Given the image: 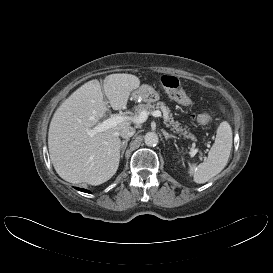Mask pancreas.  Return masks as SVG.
Here are the masks:
<instances>
[{"instance_id": "pancreas-1", "label": "pancreas", "mask_w": 273, "mask_h": 273, "mask_svg": "<svg viewBox=\"0 0 273 273\" xmlns=\"http://www.w3.org/2000/svg\"><path fill=\"white\" fill-rule=\"evenodd\" d=\"M135 112L140 113L142 111H146L148 114L152 113L155 109H161L163 112V118H164V124L167 127H170L171 130L174 133L179 134L180 136H184L185 138H189L192 140H195L193 134L189 133L186 128H183L180 126V123L177 121H174L172 113H170V110L163 102H157L156 104L146 103V104H139L138 106H135Z\"/></svg>"}]
</instances>
